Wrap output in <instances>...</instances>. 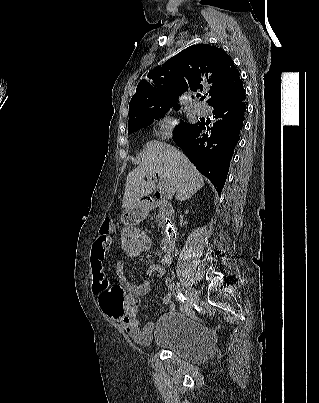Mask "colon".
I'll use <instances>...</instances> for the list:
<instances>
[{"mask_svg":"<svg viewBox=\"0 0 319 403\" xmlns=\"http://www.w3.org/2000/svg\"><path fill=\"white\" fill-rule=\"evenodd\" d=\"M153 240L144 226H125L121 230L120 250L125 260H140L141 254H151Z\"/></svg>","mask_w":319,"mask_h":403,"instance_id":"5ec220e1","label":"colon"}]
</instances>
